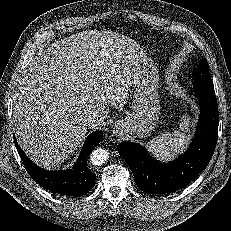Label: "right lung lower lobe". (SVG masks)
I'll use <instances>...</instances> for the list:
<instances>
[{
  "label": "right lung lower lobe",
  "instance_id": "obj_1",
  "mask_svg": "<svg viewBox=\"0 0 231 231\" xmlns=\"http://www.w3.org/2000/svg\"><path fill=\"white\" fill-rule=\"evenodd\" d=\"M103 137L102 131H96L88 136L80 156L72 169L48 171L33 163L23 152L14 137V142L25 168L32 179L40 186L52 192L82 196L88 193L95 184L96 175L87 167V158Z\"/></svg>",
  "mask_w": 231,
  "mask_h": 231
}]
</instances>
